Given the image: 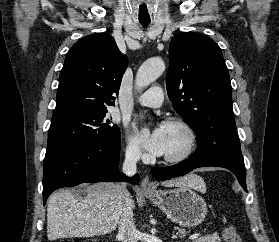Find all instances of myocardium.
I'll return each mask as SVG.
<instances>
[{
	"label": "myocardium",
	"mask_w": 279,
	"mask_h": 242,
	"mask_svg": "<svg viewBox=\"0 0 279 242\" xmlns=\"http://www.w3.org/2000/svg\"><path fill=\"white\" fill-rule=\"evenodd\" d=\"M164 125L179 127L185 134V146L177 154L164 155L163 160L167 163L177 164L188 159L195 150L197 144V134L195 129L182 118H170L164 122Z\"/></svg>",
	"instance_id": "obj_1"
}]
</instances>
